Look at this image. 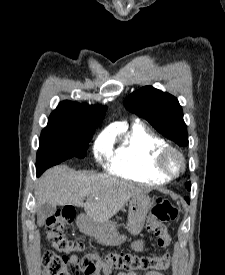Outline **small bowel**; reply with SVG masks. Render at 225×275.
<instances>
[{"label":"small bowel","mask_w":225,"mask_h":275,"mask_svg":"<svg viewBox=\"0 0 225 275\" xmlns=\"http://www.w3.org/2000/svg\"><path fill=\"white\" fill-rule=\"evenodd\" d=\"M144 246L145 242L143 240H137L133 244V249L135 251H142ZM71 260L74 262H80L81 265H83V271L86 275H164L163 273L158 271H150L146 273L129 271L114 274L112 268L107 266L100 256L93 253H86L82 256L73 254L71 255ZM86 267H90L92 271L89 273L85 272Z\"/></svg>","instance_id":"small-bowel-1"}]
</instances>
